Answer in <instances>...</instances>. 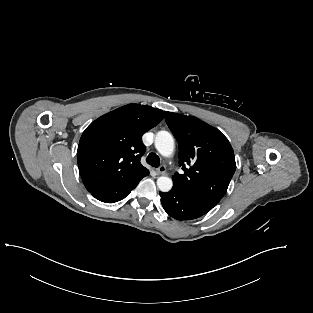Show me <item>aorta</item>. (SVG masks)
<instances>
[{
  "mask_svg": "<svg viewBox=\"0 0 313 313\" xmlns=\"http://www.w3.org/2000/svg\"><path fill=\"white\" fill-rule=\"evenodd\" d=\"M155 147L162 156H171L174 151L173 136L167 131H159L155 137ZM157 186L160 191L168 192L173 186L172 179L166 176H161L157 179Z\"/></svg>",
  "mask_w": 313,
  "mask_h": 313,
  "instance_id": "obj_1",
  "label": "aorta"
}]
</instances>
